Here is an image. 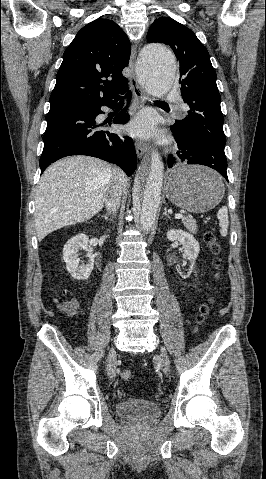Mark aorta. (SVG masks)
Instances as JSON below:
<instances>
[{"label":"aorta","mask_w":266,"mask_h":479,"mask_svg":"<svg viewBox=\"0 0 266 479\" xmlns=\"http://www.w3.org/2000/svg\"><path fill=\"white\" fill-rule=\"evenodd\" d=\"M141 76L149 94L161 97L171 88L176 72L173 53L164 45H146L140 53ZM164 164L158 153H153L147 171L138 172L134 190V208L141 203L140 223L145 232L153 227L160 205Z\"/></svg>","instance_id":"aorta-1"}]
</instances>
